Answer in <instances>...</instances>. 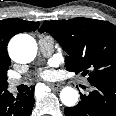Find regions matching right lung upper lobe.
Wrapping results in <instances>:
<instances>
[{"label":"right lung upper lobe","instance_id":"cb5924a9","mask_svg":"<svg viewBox=\"0 0 116 116\" xmlns=\"http://www.w3.org/2000/svg\"><path fill=\"white\" fill-rule=\"evenodd\" d=\"M39 22L24 21L22 19L10 18L0 21V72L7 70L11 60L7 54V44L17 33L35 31Z\"/></svg>","mask_w":116,"mask_h":116}]
</instances>
